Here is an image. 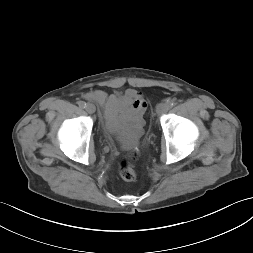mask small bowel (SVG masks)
I'll list each match as a JSON object with an SVG mask.
<instances>
[{
  "mask_svg": "<svg viewBox=\"0 0 253 253\" xmlns=\"http://www.w3.org/2000/svg\"><path fill=\"white\" fill-rule=\"evenodd\" d=\"M85 98L97 103L102 111L105 125L110 132L118 133L121 126H136L142 121L147 104L141 92L128 89L125 94H108L95 90L85 94Z\"/></svg>",
  "mask_w": 253,
  "mask_h": 253,
  "instance_id": "obj_1",
  "label": "small bowel"
}]
</instances>
